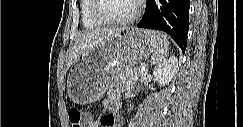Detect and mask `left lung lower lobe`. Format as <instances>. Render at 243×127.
<instances>
[{
  "label": "left lung lower lobe",
  "mask_w": 243,
  "mask_h": 127,
  "mask_svg": "<svg viewBox=\"0 0 243 127\" xmlns=\"http://www.w3.org/2000/svg\"><path fill=\"white\" fill-rule=\"evenodd\" d=\"M189 8L190 0H147L144 17L137 27L165 31L184 53L189 29Z\"/></svg>",
  "instance_id": "obj_1"
}]
</instances>
